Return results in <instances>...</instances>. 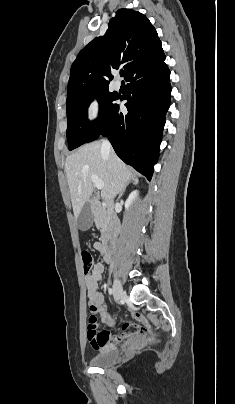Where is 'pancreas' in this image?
<instances>
[{
	"mask_svg": "<svg viewBox=\"0 0 235 404\" xmlns=\"http://www.w3.org/2000/svg\"><path fill=\"white\" fill-rule=\"evenodd\" d=\"M95 223H96L97 228L103 232L104 228H105V221L103 218V214L101 212H97L95 214Z\"/></svg>",
	"mask_w": 235,
	"mask_h": 404,
	"instance_id": "cf45deb5",
	"label": "pancreas"
}]
</instances>
